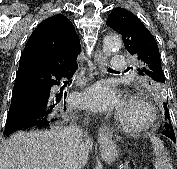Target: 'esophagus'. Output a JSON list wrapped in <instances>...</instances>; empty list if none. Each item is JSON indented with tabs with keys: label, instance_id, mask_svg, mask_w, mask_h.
<instances>
[{
	"label": "esophagus",
	"instance_id": "esophagus-1",
	"mask_svg": "<svg viewBox=\"0 0 177 169\" xmlns=\"http://www.w3.org/2000/svg\"><path fill=\"white\" fill-rule=\"evenodd\" d=\"M106 56L101 50H98L94 55V66L98 71L103 70L104 65L106 64ZM113 136L112 131L107 126H101L99 129L98 137L101 140H107Z\"/></svg>",
	"mask_w": 177,
	"mask_h": 169
}]
</instances>
